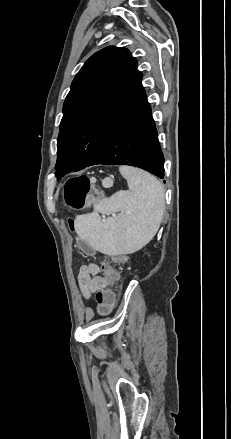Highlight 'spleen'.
I'll use <instances>...</instances> for the list:
<instances>
[{"instance_id": "1", "label": "spleen", "mask_w": 231, "mask_h": 439, "mask_svg": "<svg viewBox=\"0 0 231 439\" xmlns=\"http://www.w3.org/2000/svg\"><path fill=\"white\" fill-rule=\"evenodd\" d=\"M121 175L129 190H120L100 200L90 214L77 216V234L96 250L109 254H129L145 246L157 233L164 210L163 184L153 175L122 166ZM119 212L103 220L101 214Z\"/></svg>"}]
</instances>
